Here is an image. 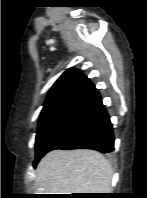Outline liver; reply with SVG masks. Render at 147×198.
Masks as SVG:
<instances>
[{"label":"liver","mask_w":147,"mask_h":198,"mask_svg":"<svg viewBox=\"0 0 147 198\" xmlns=\"http://www.w3.org/2000/svg\"><path fill=\"white\" fill-rule=\"evenodd\" d=\"M113 169L94 150H54L36 168V181L46 194L109 193Z\"/></svg>","instance_id":"1"}]
</instances>
